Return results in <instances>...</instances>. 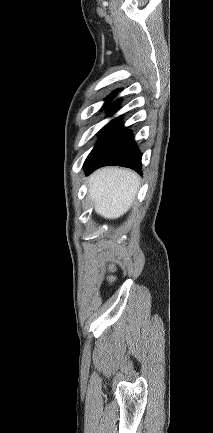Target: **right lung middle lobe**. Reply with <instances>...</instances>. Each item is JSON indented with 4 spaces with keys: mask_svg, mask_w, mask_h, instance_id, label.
I'll list each match as a JSON object with an SVG mask.
<instances>
[{
    "mask_svg": "<svg viewBox=\"0 0 213 433\" xmlns=\"http://www.w3.org/2000/svg\"><path fill=\"white\" fill-rule=\"evenodd\" d=\"M114 97H112V96H109L107 99H106V103H105V105H104V107H103V109L112 101V99H113Z\"/></svg>",
    "mask_w": 213,
    "mask_h": 433,
    "instance_id": "obj_1",
    "label": "right lung middle lobe"
}]
</instances>
